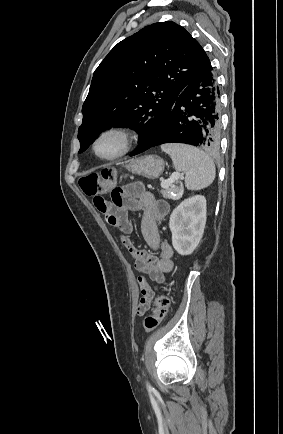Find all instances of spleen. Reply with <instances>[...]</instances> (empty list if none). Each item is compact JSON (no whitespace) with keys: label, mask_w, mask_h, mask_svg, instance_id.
<instances>
[{"label":"spleen","mask_w":283,"mask_h":434,"mask_svg":"<svg viewBox=\"0 0 283 434\" xmlns=\"http://www.w3.org/2000/svg\"><path fill=\"white\" fill-rule=\"evenodd\" d=\"M161 149L170 155L174 168L185 174V186L189 190L203 189L214 181V162L200 149L183 144H165Z\"/></svg>","instance_id":"1"}]
</instances>
